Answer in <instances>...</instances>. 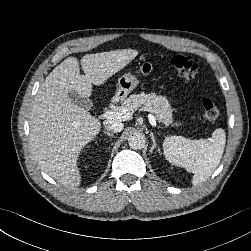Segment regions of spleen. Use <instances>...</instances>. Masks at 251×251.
Listing matches in <instances>:
<instances>
[{"instance_id": "obj_1", "label": "spleen", "mask_w": 251, "mask_h": 251, "mask_svg": "<svg viewBox=\"0 0 251 251\" xmlns=\"http://www.w3.org/2000/svg\"><path fill=\"white\" fill-rule=\"evenodd\" d=\"M226 142L225 131L216 129L208 140H190L182 136L166 137L163 153L170 163L194 174L197 185L207 179L221 161Z\"/></svg>"}]
</instances>
